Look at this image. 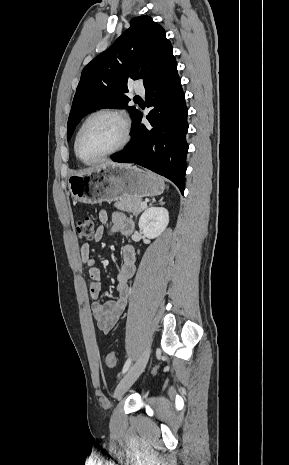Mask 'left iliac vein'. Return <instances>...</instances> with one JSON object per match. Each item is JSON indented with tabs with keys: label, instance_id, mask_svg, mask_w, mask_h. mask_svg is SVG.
Segmentation results:
<instances>
[{
	"label": "left iliac vein",
	"instance_id": "4c4485c4",
	"mask_svg": "<svg viewBox=\"0 0 289 465\" xmlns=\"http://www.w3.org/2000/svg\"><path fill=\"white\" fill-rule=\"evenodd\" d=\"M150 351L151 348L150 345H148L146 349L143 351V353L140 355L138 360L132 365V367L121 379L114 392L115 398H120L121 396H123L124 393L128 391V389L133 385V383L143 372L148 362Z\"/></svg>",
	"mask_w": 289,
	"mask_h": 465
}]
</instances>
